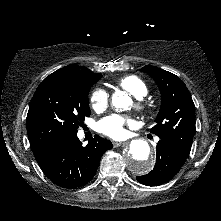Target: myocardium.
<instances>
[{"label":"myocardium","instance_id":"myocardium-1","mask_svg":"<svg viewBox=\"0 0 221 221\" xmlns=\"http://www.w3.org/2000/svg\"><path fill=\"white\" fill-rule=\"evenodd\" d=\"M135 106H136L137 110H139L141 112H143L146 109L145 104L141 101L136 102Z\"/></svg>","mask_w":221,"mask_h":221}]
</instances>
